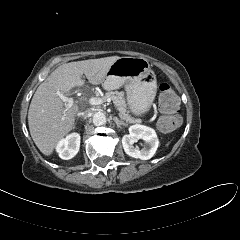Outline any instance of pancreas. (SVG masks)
<instances>
[{
  "mask_svg": "<svg viewBox=\"0 0 240 240\" xmlns=\"http://www.w3.org/2000/svg\"><path fill=\"white\" fill-rule=\"evenodd\" d=\"M107 99H111L114 103V105L117 107V110L119 111V115L123 120H125L128 123H139V119H135L131 117L127 112V104L124 97V92L119 91H111L107 92L103 96V100L107 101Z\"/></svg>",
  "mask_w": 240,
  "mask_h": 240,
  "instance_id": "cf45deb5",
  "label": "pancreas"
}]
</instances>
